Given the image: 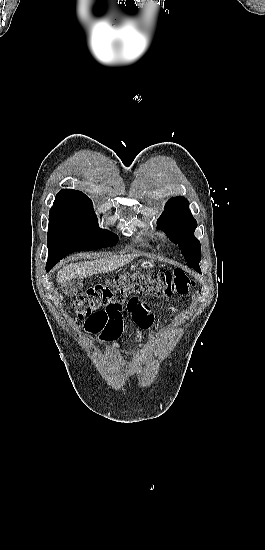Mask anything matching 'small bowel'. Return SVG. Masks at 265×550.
<instances>
[{
    "label": "small bowel",
    "mask_w": 265,
    "mask_h": 550,
    "mask_svg": "<svg viewBox=\"0 0 265 550\" xmlns=\"http://www.w3.org/2000/svg\"><path fill=\"white\" fill-rule=\"evenodd\" d=\"M135 299H131V301H133ZM135 313H138L140 314L144 319H151V316H150V311H149V307L147 304L141 302V305L139 307H137L136 309L133 310V314ZM117 322H120V319L117 320ZM151 325L150 326H147V327H144V328H140V327H133L132 330H133V333H134V351L135 352H138V348L142 342V339L144 337V333H143V330L146 331V337L148 339H152L153 337V333L151 331ZM87 332H92L90 329H86ZM116 332H117V335L113 336V337H110L112 338L113 340L114 339H117L119 337V335L121 334L122 332V327L119 326L117 329H116Z\"/></svg>",
    "instance_id": "1"
}]
</instances>
